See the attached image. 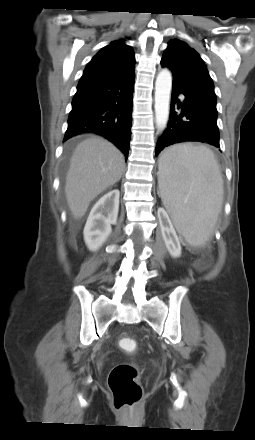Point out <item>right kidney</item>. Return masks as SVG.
<instances>
[{"mask_svg":"<svg viewBox=\"0 0 255 440\" xmlns=\"http://www.w3.org/2000/svg\"><path fill=\"white\" fill-rule=\"evenodd\" d=\"M118 189L101 197L91 209L84 227V241L90 251L98 250L111 234V225L117 223L119 210Z\"/></svg>","mask_w":255,"mask_h":440,"instance_id":"right-kidney-1","label":"right kidney"}]
</instances>
